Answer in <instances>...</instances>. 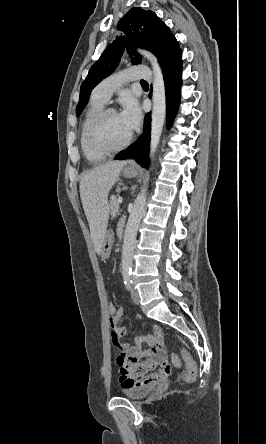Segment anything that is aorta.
Here are the masks:
<instances>
[{"mask_svg": "<svg viewBox=\"0 0 266 444\" xmlns=\"http://www.w3.org/2000/svg\"><path fill=\"white\" fill-rule=\"evenodd\" d=\"M138 52L144 56L153 68V93H152V115H151V141H150V158L158 148L160 137L163 130L165 112H166V95L165 84L161 67L157 58L149 51L138 49ZM146 196L142 190L137 196L134 206L130 212L128 222L125 229L122 249V273L127 275L131 271L133 263L134 248L136 245V236L140 220L145 213Z\"/></svg>", "mask_w": 266, "mask_h": 444, "instance_id": "762f6f07", "label": "aorta"}]
</instances>
